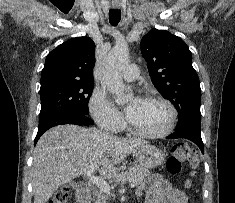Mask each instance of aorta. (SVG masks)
Instances as JSON below:
<instances>
[{
    "label": "aorta",
    "instance_id": "obj_1",
    "mask_svg": "<svg viewBox=\"0 0 235 203\" xmlns=\"http://www.w3.org/2000/svg\"><path fill=\"white\" fill-rule=\"evenodd\" d=\"M129 63V50L125 44H117L108 53L103 70L102 85L120 102L124 101V85L121 77L122 69Z\"/></svg>",
    "mask_w": 235,
    "mask_h": 203
}]
</instances>
